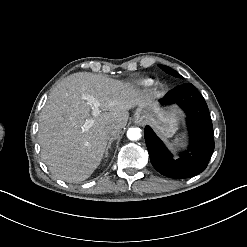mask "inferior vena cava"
<instances>
[{
	"label": "inferior vena cava",
	"mask_w": 247,
	"mask_h": 247,
	"mask_svg": "<svg viewBox=\"0 0 247 247\" xmlns=\"http://www.w3.org/2000/svg\"><path fill=\"white\" fill-rule=\"evenodd\" d=\"M107 135L109 136V141L110 140H116L119 135L122 132V128L118 125H114V126H108L105 129Z\"/></svg>",
	"instance_id": "obj_1"
}]
</instances>
